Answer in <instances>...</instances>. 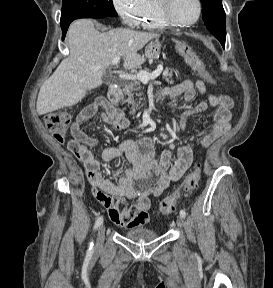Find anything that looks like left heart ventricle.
Wrapping results in <instances>:
<instances>
[{
  "label": "left heart ventricle",
  "mask_w": 273,
  "mask_h": 288,
  "mask_svg": "<svg viewBox=\"0 0 273 288\" xmlns=\"http://www.w3.org/2000/svg\"><path fill=\"white\" fill-rule=\"evenodd\" d=\"M170 13L176 21H190L197 14L196 0H171Z\"/></svg>",
  "instance_id": "obj_1"
}]
</instances>
